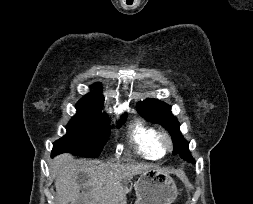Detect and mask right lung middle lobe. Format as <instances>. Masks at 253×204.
Segmentation results:
<instances>
[{"mask_svg":"<svg viewBox=\"0 0 253 204\" xmlns=\"http://www.w3.org/2000/svg\"><path fill=\"white\" fill-rule=\"evenodd\" d=\"M77 114L68 123L67 134L53 144L52 155L69 152L82 157L96 158L109 135L110 126L101 109L76 104ZM125 115L120 122L124 123Z\"/></svg>","mask_w":253,"mask_h":204,"instance_id":"right-lung-middle-lobe-1","label":"right lung middle lobe"}]
</instances>
